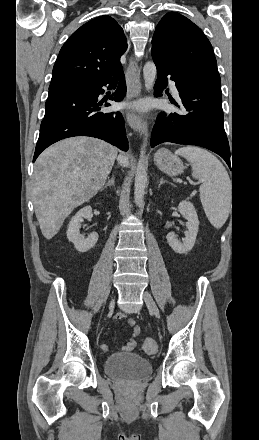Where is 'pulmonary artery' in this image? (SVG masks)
<instances>
[{"label": "pulmonary artery", "mask_w": 259, "mask_h": 440, "mask_svg": "<svg viewBox=\"0 0 259 440\" xmlns=\"http://www.w3.org/2000/svg\"><path fill=\"white\" fill-rule=\"evenodd\" d=\"M169 85H170V87H171V90H172L173 94H174L176 97H178V96H179V92H178V90H177L176 83H175L174 81H172V80H169Z\"/></svg>", "instance_id": "1"}]
</instances>
